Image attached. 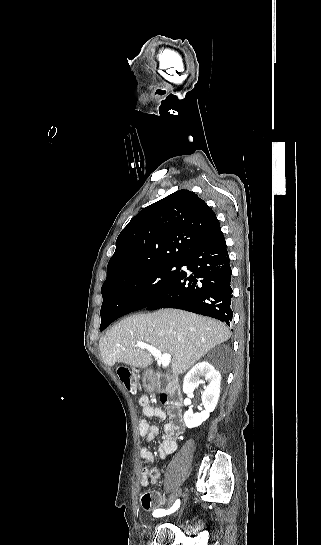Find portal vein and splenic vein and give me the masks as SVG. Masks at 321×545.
Masks as SVG:
<instances>
[{
    "label": "portal vein and splenic vein",
    "mask_w": 321,
    "mask_h": 545,
    "mask_svg": "<svg viewBox=\"0 0 321 545\" xmlns=\"http://www.w3.org/2000/svg\"><path fill=\"white\" fill-rule=\"evenodd\" d=\"M136 347H139V349H147L155 359H159L162 367H168L170 361H171V355L170 353H164L162 355L161 351H158V349H155V347H152V345H147V343H140V341H137Z\"/></svg>",
    "instance_id": "portal-vein-and-splenic-vein-1"
}]
</instances>
